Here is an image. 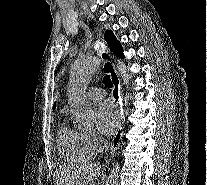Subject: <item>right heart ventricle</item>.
<instances>
[{"label":"right heart ventricle","mask_w":207,"mask_h":185,"mask_svg":"<svg viewBox=\"0 0 207 185\" xmlns=\"http://www.w3.org/2000/svg\"><path fill=\"white\" fill-rule=\"evenodd\" d=\"M58 144L61 154L69 162L82 163L92 161L98 151L84 131L71 130L63 126L59 132Z\"/></svg>","instance_id":"e07e8e85"}]
</instances>
